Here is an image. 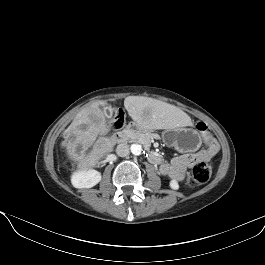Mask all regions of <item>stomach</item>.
<instances>
[{
  "instance_id": "1",
  "label": "stomach",
  "mask_w": 265,
  "mask_h": 265,
  "mask_svg": "<svg viewBox=\"0 0 265 265\" xmlns=\"http://www.w3.org/2000/svg\"><path fill=\"white\" fill-rule=\"evenodd\" d=\"M162 139L167 145L173 146L179 152H195L201 142L197 131L184 127L165 129L162 132Z\"/></svg>"
}]
</instances>
